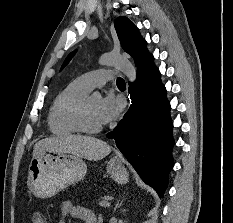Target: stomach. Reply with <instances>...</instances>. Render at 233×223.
<instances>
[{"mask_svg":"<svg viewBox=\"0 0 233 223\" xmlns=\"http://www.w3.org/2000/svg\"><path fill=\"white\" fill-rule=\"evenodd\" d=\"M86 173L87 163L82 157L42 149L37 155H33L29 163L27 183L35 197L47 199L66 189L68 185H76L84 179ZM107 173L117 183H127L129 179V171L119 157H112L108 161Z\"/></svg>","mask_w":233,"mask_h":223,"instance_id":"stomach-1","label":"stomach"}]
</instances>
